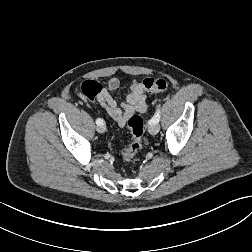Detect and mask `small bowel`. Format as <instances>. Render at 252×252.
Wrapping results in <instances>:
<instances>
[{
    "instance_id": "small-bowel-1",
    "label": "small bowel",
    "mask_w": 252,
    "mask_h": 252,
    "mask_svg": "<svg viewBox=\"0 0 252 252\" xmlns=\"http://www.w3.org/2000/svg\"><path fill=\"white\" fill-rule=\"evenodd\" d=\"M119 88L118 78L109 79L98 95L97 101L119 127H124L131 116L145 112L146 90L141 82L133 81L125 101L118 104L112 93Z\"/></svg>"
}]
</instances>
